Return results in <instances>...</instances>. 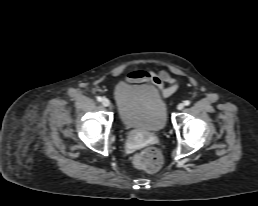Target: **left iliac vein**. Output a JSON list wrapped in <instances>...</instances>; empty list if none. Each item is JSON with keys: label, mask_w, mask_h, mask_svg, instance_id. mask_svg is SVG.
Here are the masks:
<instances>
[{"label": "left iliac vein", "mask_w": 258, "mask_h": 206, "mask_svg": "<svg viewBox=\"0 0 258 206\" xmlns=\"http://www.w3.org/2000/svg\"><path fill=\"white\" fill-rule=\"evenodd\" d=\"M184 108V104L183 103H180L177 105V109L178 110H182Z\"/></svg>", "instance_id": "1"}]
</instances>
